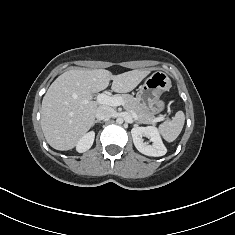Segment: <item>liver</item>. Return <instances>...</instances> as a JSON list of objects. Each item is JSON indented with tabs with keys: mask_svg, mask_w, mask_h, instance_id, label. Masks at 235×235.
<instances>
[{
	"mask_svg": "<svg viewBox=\"0 0 235 235\" xmlns=\"http://www.w3.org/2000/svg\"><path fill=\"white\" fill-rule=\"evenodd\" d=\"M149 73L146 70H132L113 75L105 69L79 68L61 74L42 100L41 128L47 143L61 151L74 148L93 126L100 107L92 101V94L106 89L110 80H113L112 91L130 92Z\"/></svg>",
	"mask_w": 235,
	"mask_h": 235,
	"instance_id": "obj_1",
	"label": "liver"
}]
</instances>
